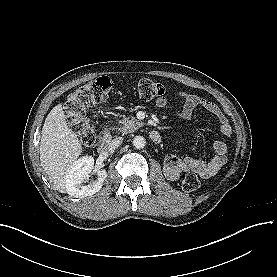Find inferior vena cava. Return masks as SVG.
Masks as SVG:
<instances>
[{
    "label": "inferior vena cava",
    "instance_id": "inferior-vena-cava-1",
    "mask_svg": "<svg viewBox=\"0 0 277 277\" xmlns=\"http://www.w3.org/2000/svg\"><path fill=\"white\" fill-rule=\"evenodd\" d=\"M122 142V138L121 137H116L110 141H108V143L106 144L107 145V149L109 151L113 150V149H116Z\"/></svg>",
    "mask_w": 277,
    "mask_h": 277
}]
</instances>
